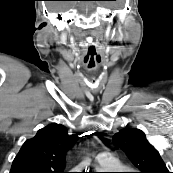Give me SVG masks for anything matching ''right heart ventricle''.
Listing matches in <instances>:
<instances>
[{"label":"right heart ventricle","mask_w":173,"mask_h":173,"mask_svg":"<svg viewBox=\"0 0 173 173\" xmlns=\"http://www.w3.org/2000/svg\"><path fill=\"white\" fill-rule=\"evenodd\" d=\"M99 164L106 169H117L118 171H125L126 169V167L113 156H108L106 160L99 162Z\"/></svg>","instance_id":"e07e8e85"}]
</instances>
